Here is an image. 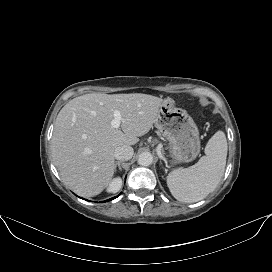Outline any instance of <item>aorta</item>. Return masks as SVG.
I'll list each match as a JSON object with an SVG mask.
<instances>
[{
  "mask_svg": "<svg viewBox=\"0 0 272 272\" xmlns=\"http://www.w3.org/2000/svg\"><path fill=\"white\" fill-rule=\"evenodd\" d=\"M153 162V156L149 152H144L139 155L138 157V164L141 166H149Z\"/></svg>",
  "mask_w": 272,
  "mask_h": 272,
  "instance_id": "aorta-1",
  "label": "aorta"
}]
</instances>
